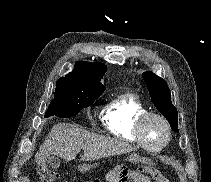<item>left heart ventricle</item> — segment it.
<instances>
[{
  "mask_svg": "<svg viewBox=\"0 0 211 182\" xmlns=\"http://www.w3.org/2000/svg\"><path fill=\"white\" fill-rule=\"evenodd\" d=\"M143 135L148 145L158 146L166 139V129L160 120L150 118L143 127Z\"/></svg>",
  "mask_w": 211,
  "mask_h": 182,
  "instance_id": "b2bd125f",
  "label": "left heart ventricle"
}]
</instances>
